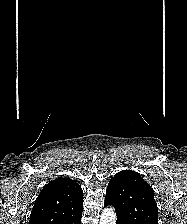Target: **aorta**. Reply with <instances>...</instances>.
I'll use <instances>...</instances> for the list:
<instances>
[{"label": "aorta", "mask_w": 187, "mask_h": 224, "mask_svg": "<svg viewBox=\"0 0 187 224\" xmlns=\"http://www.w3.org/2000/svg\"><path fill=\"white\" fill-rule=\"evenodd\" d=\"M100 224H116V214L112 208H106L101 214Z\"/></svg>", "instance_id": "aorta-1"}]
</instances>
